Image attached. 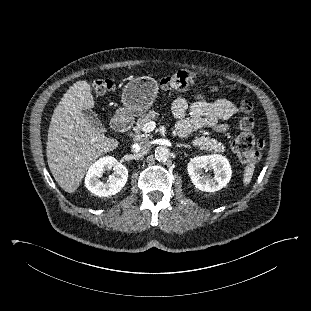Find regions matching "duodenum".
<instances>
[{
    "mask_svg": "<svg viewBox=\"0 0 311 311\" xmlns=\"http://www.w3.org/2000/svg\"><path fill=\"white\" fill-rule=\"evenodd\" d=\"M131 126H132V119L127 114H119L112 121L113 129L118 132H126L131 128Z\"/></svg>",
    "mask_w": 311,
    "mask_h": 311,
    "instance_id": "duodenum-1",
    "label": "duodenum"
}]
</instances>
